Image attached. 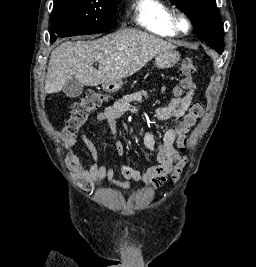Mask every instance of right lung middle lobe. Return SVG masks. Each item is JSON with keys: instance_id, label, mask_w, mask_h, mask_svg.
I'll list each match as a JSON object with an SVG mask.
<instances>
[{"instance_id": "right-lung-middle-lobe-1", "label": "right lung middle lobe", "mask_w": 256, "mask_h": 267, "mask_svg": "<svg viewBox=\"0 0 256 267\" xmlns=\"http://www.w3.org/2000/svg\"><path fill=\"white\" fill-rule=\"evenodd\" d=\"M122 0H54L50 41L86 35L117 26L114 20Z\"/></svg>"}]
</instances>
